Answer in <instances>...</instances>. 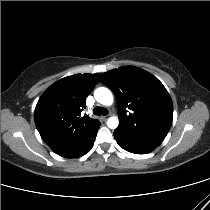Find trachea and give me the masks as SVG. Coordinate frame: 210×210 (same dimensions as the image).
Listing matches in <instances>:
<instances>
[{
    "instance_id": "1",
    "label": "trachea",
    "mask_w": 210,
    "mask_h": 210,
    "mask_svg": "<svg viewBox=\"0 0 210 210\" xmlns=\"http://www.w3.org/2000/svg\"><path fill=\"white\" fill-rule=\"evenodd\" d=\"M93 114H95V115H107L108 110L106 108H102V107H95L93 109Z\"/></svg>"
}]
</instances>
